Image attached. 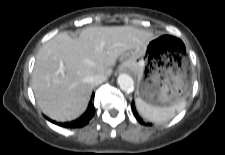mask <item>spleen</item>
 <instances>
[{
    "label": "spleen",
    "mask_w": 225,
    "mask_h": 155,
    "mask_svg": "<svg viewBox=\"0 0 225 155\" xmlns=\"http://www.w3.org/2000/svg\"><path fill=\"white\" fill-rule=\"evenodd\" d=\"M186 106L185 99L167 107L153 106L144 102L141 98L136 99V107L139 113L146 119L153 122H164L172 119L176 113L182 111Z\"/></svg>",
    "instance_id": "obj_1"
}]
</instances>
